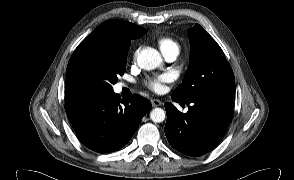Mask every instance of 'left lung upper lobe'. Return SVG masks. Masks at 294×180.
Listing matches in <instances>:
<instances>
[{"instance_id":"left-lung-upper-lobe-1","label":"left lung upper lobe","mask_w":294,"mask_h":180,"mask_svg":"<svg viewBox=\"0 0 294 180\" xmlns=\"http://www.w3.org/2000/svg\"><path fill=\"white\" fill-rule=\"evenodd\" d=\"M190 66L173 97L185 101L195 97L234 100L235 78L220 46L199 25L189 30Z\"/></svg>"}]
</instances>
